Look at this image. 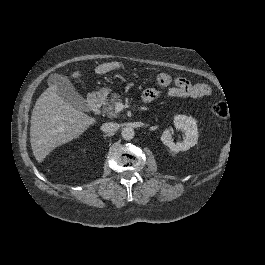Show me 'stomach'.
I'll return each mask as SVG.
<instances>
[{
  "label": "stomach",
  "mask_w": 265,
  "mask_h": 265,
  "mask_svg": "<svg viewBox=\"0 0 265 265\" xmlns=\"http://www.w3.org/2000/svg\"><path fill=\"white\" fill-rule=\"evenodd\" d=\"M109 91H110V89H108V88H102V89L100 90L99 94L105 96V95H107V94L109 93Z\"/></svg>",
  "instance_id": "stomach-1"
}]
</instances>
